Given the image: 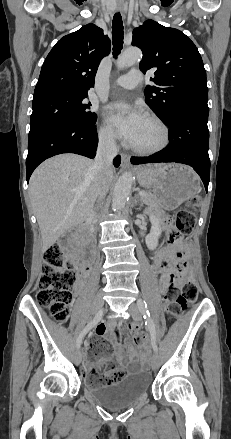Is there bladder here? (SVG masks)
<instances>
[{
    "label": "bladder",
    "mask_w": 231,
    "mask_h": 439,
    "mask_svg": "<svg viewBox=\"0 0 231 439\" xmlns=\"http://www.w3.org/2000/svg\"><path fill=\"white\" fill-rule=\"evenodd\" d=\"M151 383L152 377L148 371L137 370L129 373L118 384L90 386L89 392L103 406L118 409L136 402L142 395L147 393Z\"/></svg>",
    "instance_id": "bladder-1"
}]
</instances>
